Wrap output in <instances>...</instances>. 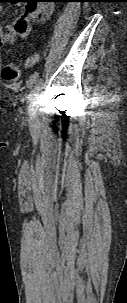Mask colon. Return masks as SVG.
<instances>
[{
	"label": "colon",
	"instance_id": "1",
	"mask_svg": "<svg viewBox=\"0 0 127 303\" xmlns=\"http://www.w3.org/2000/svg\"><path fill=\"white\" fill-rule=\"evenodd\" d=\"M38 58L37 54L32 55L28 61H27V65L32 64L33 62H35ZM20 68L17 64L15 63H9L7 64L2 71V76L5 80L7 81H16L19 79L20 77Z\"/></svg>",
	"mask_w": 127,
	"mask_h": 303
}]
</instances>
